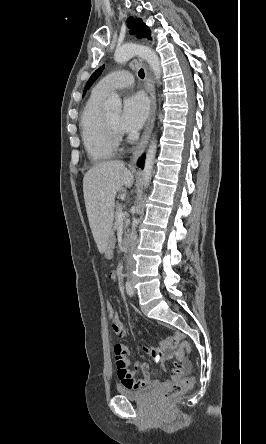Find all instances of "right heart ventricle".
<instances>
[{
	"mask_svg": "<svg viewBox=\"0 0 266 444\" xmlns=\"http://www.w3.org/2000/svg\"><path fill=\"white\" fill-rule=\"evenodd\" d=\"M106 95L93 91L88 99L81 116V136L85 150L89 157L95 161L111 158L116 150L107 138L104 127V114L101 111Z\"/></svg>",
	"mask_w": 266,
	"mask_h": 444,
	"instance_id": "right-heart-ventricle-1",
	"label": "right heart ventricle"
}]
</instances>
